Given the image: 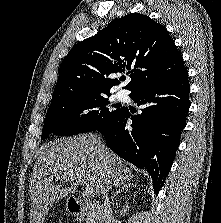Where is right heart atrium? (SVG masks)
I'll return each mask as SVG.
<instances>
[{
  "label": "right heart atrium",
  "mask_w": 221,
  "mask_h": 223,
  "mask_svg": "<svg viewBox=\"0 0 221 223\" xmlns=\"http://www.w3.org/2000/svg\"><path fill=\"white\" fill-rule=\"evenodd\" d=\"M92 112V108L90 106H82L79 109V116L82 118H87Z\"/></svg>",
  "instance_id": "1"
}]
</instances>
